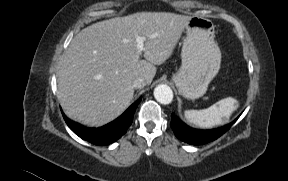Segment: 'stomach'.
Here are the masks:
<instances>
[{"mask_svg": "<svg viewBox=\"0 0 288 181\" xmlns=\"http://www.w3.org/2000/svg\"><path fill=\"white\" fill-rule=\"evenodd\" d=\"M182 46V65L173 75L179 93L187 99L203 96L217 75L221 52L214 41L215 25L205 17H190Z\"/></svg>", "mask_w": 288, "mask_h": 181, "instance_id": "1", "label": "stomach"}]
</instances>
